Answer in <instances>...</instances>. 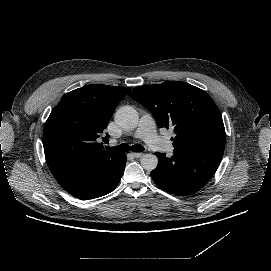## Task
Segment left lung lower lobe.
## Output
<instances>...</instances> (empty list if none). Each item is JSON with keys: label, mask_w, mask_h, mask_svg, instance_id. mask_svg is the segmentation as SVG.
I'll list each match as a JSON object with an SVG mask.
<instances>
[{"label": "left lung lower lobe", "mask_w": 271, "mask_h": 271, "mask_svg": "<svg viewBox=\"0 0 271 271\" xmlns=\"http://www.w3.org/2000/svg\"><path fill=\"white\" fill-rule=\"evenodd\" d=\"M224 151L181 147L171 158L156 153L158 166L151 172L154 182L164 191L185 196L200 190L214 175Z\"/></svg>", "instance_id": "left-lung-lower-lobe-1"}]
</instances>
